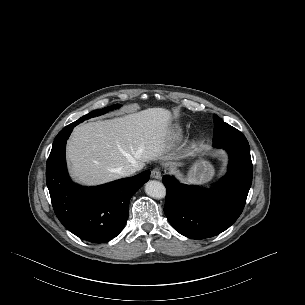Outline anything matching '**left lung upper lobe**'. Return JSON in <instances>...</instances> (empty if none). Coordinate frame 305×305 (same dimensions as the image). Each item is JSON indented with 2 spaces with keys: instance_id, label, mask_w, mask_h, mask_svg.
Here are the masks:
<instances>
[{
  "instance_id": "obj_1",
  "label": "left lung upper lobe",
  "mask_w": 305,
  "mask_h": 305,
  "mask_svg": "<svg viewBox=\"0 0 305 305\" xmlns=\"http://www.w3.org/2000/svg\"><path fill=\"white\" fill-rule=\"evenodd\" d=\"M213 121L215 124L213 133L214 147L230 145L249 148L247 139L239 130L225 123L215 114L213 115Z\"/></svg>"
}]
</instances>
